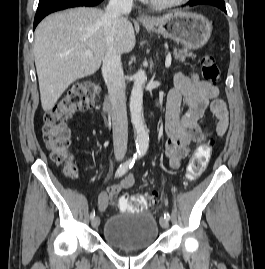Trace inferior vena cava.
I'll return each instance as SVG.
<instances>
[{"instance_id":"1","label":"inferior vena cava","mask_w":265,"mask_h":269,"mask_svg":"<svg viewBox=\"0 0 265 269\" xmlns=\"http://www.w3.org/2000/svg\"><path fill=\"white\" fill-rule=\"evenodd\" d=\"M133 0H110L104 15L107 51L103 58L102 75L107 85L112 110L113 145L117 160L125 157L128 142L126 99L123 88L121 56L116 51L115 33L118 20L131 12Z\"/></svg>"}]
</instances>
